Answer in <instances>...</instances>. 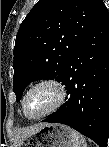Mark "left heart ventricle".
<instances>
[{"label": "left heart ventricle", "mask_w": 109, "mask_h": 147, "mask_svg": "<svg viewBox=\"0 0 109 147\" xmlns=\"http://www.w3.org/2000/svg\"><path fill=\"white\" fill-rule=\"evenodd\" d=\"M57 98L54 88L45 86L34 90L27 99V109L31 114L39 115L49 109Z\"/></svg>", "instance_id": "obj_1"}]
</instances>
